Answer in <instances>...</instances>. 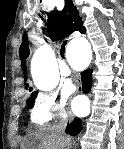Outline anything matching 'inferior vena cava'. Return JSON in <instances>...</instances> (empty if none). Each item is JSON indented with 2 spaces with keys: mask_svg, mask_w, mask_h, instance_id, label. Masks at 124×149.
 Here are the masks:
<instances>
[{
  "mask_svg": "<svg viewBox=\"0 0 124 149\" xmlns=\"http://www.w3.org/2000/svg\"><path fill=\"white\" fill-rule=\"evenodd\" d=\"M59 119H61L62 122L59 123L58 125H56V127L54 128L58 133H60V131H62L65 127V117H64V115H60Z\"/></svg>",
  "mask_w": 124,
  "mask_h": 149,
  "instance_id": "1",
  "label": "inferior vena cava"
}]
</instances>
